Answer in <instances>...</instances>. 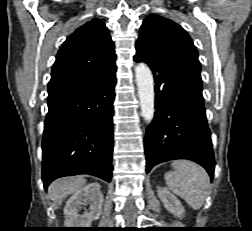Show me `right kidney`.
I'll return each mask as SVG.
<instances>
[{"label":"right kidney","mask_w":252,"mask_h":231,"mask_svg":"<svg viewBox=\"0 0 252 231\" xmlns=\"http://www.w3.org/2000/svg\"><path fill=\"white\" fill-rule=\"evenodd\" d=\"M98 183H91L76 191L64 208L67 228H90L92 221L98 220L102 212L103 194ZM82 204H89V211L79 214Z\"/></svg>","instance_id":"right-kidney-1"}]
</instances>
